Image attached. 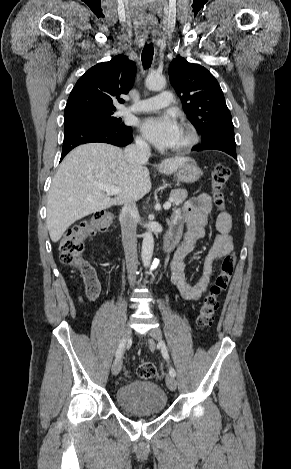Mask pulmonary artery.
Instances as JSON below:
<instances>
[{
  "instance_id": "obj_1",
  "label": "pulmonary artery",
  "mask_w": 291,
  "mask_h": 469,
  "mask_svg": "<svg viewBox=\"0 0 291 469\" xmlns=\"http://www.w3.org/2000/svg\"><path fill=\"white\" fill-rule=\"evenodd\" d=\"M173 96L169 91H162L158 95L138 101L135 105L128 107L131 112H149L168 107L172 104Z\"/></svg>"
}]
</instances>
